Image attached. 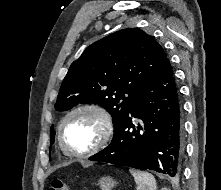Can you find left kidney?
<instances>
[{"label": "left kidney", "instance_id": "1", "mask_svg": "<svg viewBox=\"0 0 221 190\" xmlns=\"http://www.w3.org/2000/svg\"><path fill=\"white\" fill-rule=\"evenodd\" d=\"M161 190H169V189H167V188H162Z\"/></svg>", "mask_w": 221, "mask_h": 190}]
</instances>
